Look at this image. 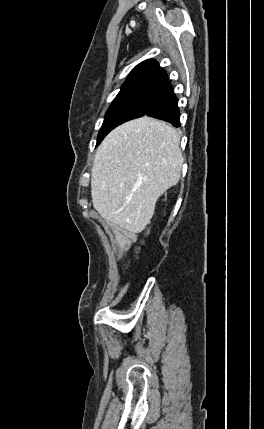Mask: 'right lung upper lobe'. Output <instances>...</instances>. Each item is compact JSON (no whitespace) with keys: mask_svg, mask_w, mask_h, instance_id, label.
<instances>
[{"mask_svg":"<svg viewBox=\"0 0 264 429\" xmlns=\"http://www.w3.org/2000/svg\"><path fill=\"white\" fill-rule=\"evenodd\" d=\"M166 72L155 60H146L138 64L129 74L121 90L140 87L164 88L168 84Z\"/></svg>","mask_w":264,"mask_h":429,"instance_id":"right-lung-upper-lobe-1","label":"right lung upper lobe"}]
</instances>
